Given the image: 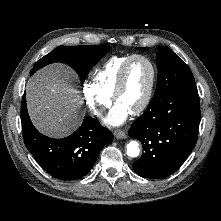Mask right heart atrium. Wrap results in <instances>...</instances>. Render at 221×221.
<instances>
[{
  "mask_svg": "<svg viewBox=\"0 0 221 221\" xmlns=\"http://www.w3.org/2000/svg\"><path fill=\"white\" fill-rule=\"evenodd\" d=\"M83 99L93 115L101 117L111 105L112 99L104 95L95 83L86 81L82 85Z\"/></svg>",
  "mask_w": 221,
  "mask_h": 221,
  "instance_id": "right-heart-atrium-1",
  "label": "right heart atrium"
}]
</instances>
